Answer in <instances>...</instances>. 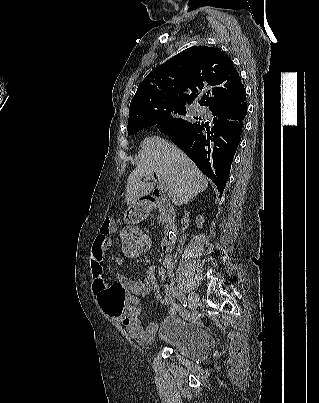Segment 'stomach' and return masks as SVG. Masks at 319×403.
Returning <instances> with one entry per match:
<instances>
[{"label":"stomach","mask_w":319,"mask_h":403,"mask_svg":"<svg viewBox=\"0 0 319 403\" xmlns=\"http://www.w3.org/2000/svg\"><path fill=\"white\" fill-rule=\"evenodd\" d=\"M123 224H139L140 218L136 214V207L131 206L127 209L122 218Z\"/></svg>","instance_id":"0dacf381"}]
</instances>
